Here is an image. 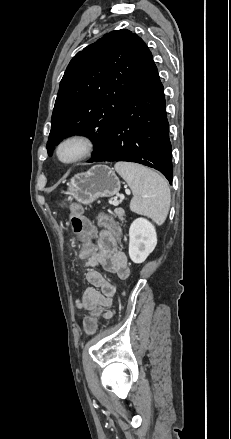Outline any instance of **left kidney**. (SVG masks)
<instances>
[{"label":"left kidney","instance_id":"obj_1","mask_svg":"<svg viewBox=\"0 0 231 439\" xmlns=\"http://www.w3.org/2000/svg\"><path fill=\"white\" fill-rule=\"evenodd\" d=\"M157 244L155 227L145 218L135 219L129 228V256L134 263H142Z\"/></svg>","mask_w":231,"mask_h":439}]
</instances>
